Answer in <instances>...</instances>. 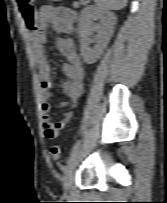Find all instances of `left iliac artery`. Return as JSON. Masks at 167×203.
<instances>
[{
	"instance_id": "obj_1",
	"label": "left iliac artery",
	"mask_w": 167,
	"mask_h": 203,
	"mask_svg": "<svg viewBox=\"0 0 167 203\" xmlns=\"http://www.w3.org/2000/svg\"><path fill=\"white\" fill-rule=\"evenodd\" d=\"M80 146V141L78 140L75 145L73 146L71 153H70V157L69 160L71 159V157L77 152V150L79 149Z\"/></svg>"
}]
</instances>
